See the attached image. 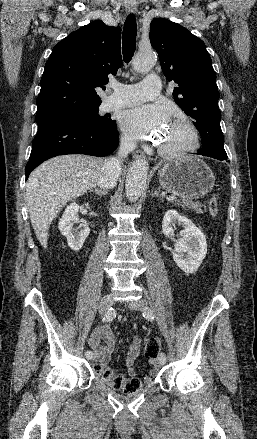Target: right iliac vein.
Returning <instances> with one entry per match:
<instances>
[{"instance_id": "1", "label": "right iliac vein", "mask_w": 257, "mask_h": 439, "mask_svg": "<svg viewBox=\"0 0 257 439\" xmlns=\"http://www.w3.org/2000/svg\"><path fill=\"white\" fill-rule=\"evenodd\" d=\"M114 300L115 299L112 294L105 295L100 301V306H99L100 312L101 313L107 312L113 306Z\"/></svg>"}]
</instances>
